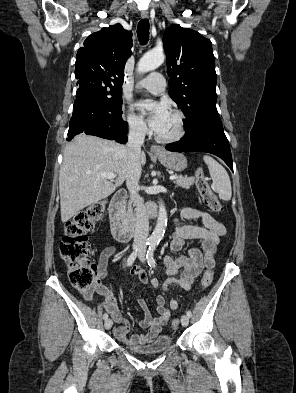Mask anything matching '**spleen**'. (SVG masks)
<instances>
[{"instance_id": "obj_1", "label": "spleen", "mask_w": 296, "mask_h": 393, "mask_svg": "<svg viewBox=\"0 0 296 393\" xmlns=\"http://www.w3.org/2000/svg\"><path fill=\"white\" fill-rule=\"evenodd\" d=\"M205 164L208 166L215 191L219 198L229 201L232 196L231 181L225 168L210 156H204Z\"/></svg>"}]
</instances>
